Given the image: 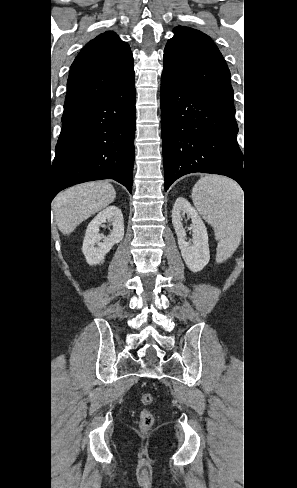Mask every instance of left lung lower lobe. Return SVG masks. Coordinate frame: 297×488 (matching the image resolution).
<instances>
[{"mask_svg":"<svg viewBox=\"0 0 297 488\" xmlns=\"http://www.w3.org/2000/svg\"><path fill=\"white\" fill-rule=\"evenodd\" d=\"M234 115L162 73L165 191L181 176L203 172L228 176L245 192V166Z\"/></svg>","mask_w":297,"mask_h":488,"instance_id":"1","label":"left lung lower lobe"}]
</instances>
